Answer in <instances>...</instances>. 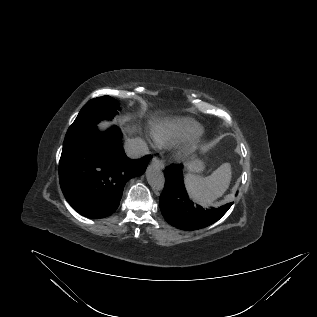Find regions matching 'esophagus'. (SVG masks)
Instances as JSON below:
<instances>
[{
  "instance_id": "34e87169",
  "label": "esophagus",
  "mask_w": 317,
  "mask_h": 317,
  "mask_svg": "<svg viewBox=\"0 0 317 317\" xmlns=\"http://www.w3.org/2000/svg\"><path fill=\"white\" fill-rule=\"evenodd\" d=\"M154 166L158 167L159 169H164V162L162 159H160L159 157H154L152 159V162H151Z\"/></svg>"
}]
</instances>
